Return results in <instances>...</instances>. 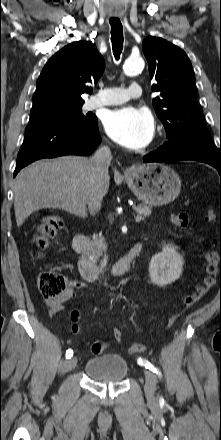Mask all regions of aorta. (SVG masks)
I'll use <instances>...</instances> for the list:
<instances>
[{"label":"aorta","mask_w":221,"mask_h":440,"mask_svg":"<svg viewBox=\"0 0 221 440\" xmlns=\"http://www.w3.org/2000/svg\"><path fill=\"white\" fill-rule=\"evenodd\" d=\"M144 68V61L141 57H130L124 65L123 70L127 76H135L139 74Z\"/></svg>","instance_id":"762f6f07"}]
</instances>
